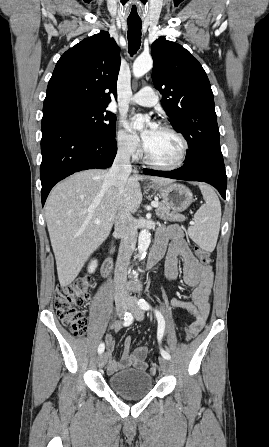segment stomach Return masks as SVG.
I'll use <instances>...</instances> for the list:
<instances>
[{"label": "stomach", "instance_id": "stomach-1", "mask_svg": "<svg viewBox=\"0 0 269 447\" xmlns=\"http://www.w3.org/2000/svg\"><path fill=\"white\" fill-rule=\"evenodd\" d=\"M151 188L160 194L164 204L174 212H184L192 202L193 194L186 186L169 184V186H151Z\"/></svg>", "mask_w": 269, "mask_h": 447}]
</instances>
